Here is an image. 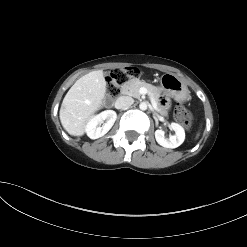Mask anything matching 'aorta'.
Listing matches in <instances>:
<instances>
[{"instance_id": "762f6f07", "label": "aorta", "mask_w": 247, "mask_h": 247, "mask_svg": "<svg viewBox=\"0 0 247 247\" xmlns=\"http://www.w3.org/2000/svg\"><path fill=\"white\" fill-rule=\"evenodd\" d=\"M147 103L146 102H141L140 105H139V108L143 111L147 110Z\"/></svg>"}]
</instances>
